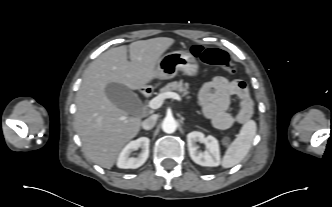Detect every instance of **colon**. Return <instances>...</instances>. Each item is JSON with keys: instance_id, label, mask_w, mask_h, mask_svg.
<instances>
[{"instance_id": "obj_1", "label": "colon", "mask_w": 332, "mask_h": 207, "mask_svg": "<svg viewBox=\"0 0 332 207\" xmlns=\"http://www.w3.org/2000/svg\"><path fill=\"white\" fill-rule=\"evenodd\" d=\"M191 53L202 62L209 65L219 66L229 74L233 75L237 72V65L231 61L228 53L221 49L193 45L191 47ZM222 143L228 145L230 143V138L224 136L222 138Z\"/></svg>"}]
</instances>
